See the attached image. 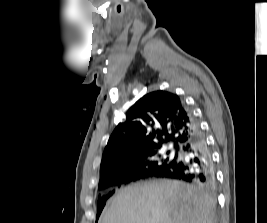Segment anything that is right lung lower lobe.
<instances>
[{
    "label": "right lung lower lobe",
    "mask_w": 267,
    "mask_h": 223,
    "mask_svg": "<svg viewBox=\"0 0 267 223\" xmlns=\"http://www.w3.org/2000/svg\"><path fill=\"white\" fill-rule=\"evenodd\" d=\"M153 177L182 180L213 188L214 166L205 138L197 126V134L178 151L176 162ZM133 181L132 176L120 175L106 182L102 188L118 186Z\"/></svg>",
    "instance_id": "98d812e1"
}]
</instances>
